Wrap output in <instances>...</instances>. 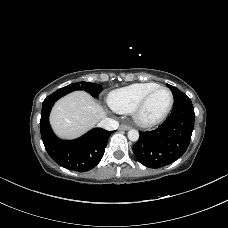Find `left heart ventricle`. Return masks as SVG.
I'll use <instances>...</instances> for the list:
<instances>
[{
    "label": "left heart ventricle",
    "instance_id": "b2bd125f",
    "mask_svg": "<svg viewBox=\"0 0 228 228\" xmlns=\"http://www.w3.org/2000/svg\"><path fill=\"white\" fill-rule=\"evenodd\" d=\"M170 103V95L166 90L156 91L146 103L142 118L144 120H154L160 117L167 109Z\"/></svg>",
    "mask_w": 228,
    "mask_h": 228
}]
</instances>
